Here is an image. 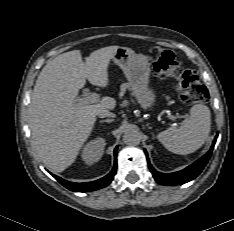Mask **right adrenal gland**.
I'll return each mask as SVG.
<instances>
[{
    "label": "right adrenal gland",
    "mask_w": 234,
    "mask_h": 231,
    "mask_svg": "<svg viewBox=\"0 0 234 231\" xmlns=\"http://www.w3.org/2000/svg\"><path fill=\"white\" fill-rule=\"evenodd\" d=\"M112 121H113V119H105V120H101L100 123H104V122L110 123Z\"/></svg>",
    "instance_id": "obj_1"
}]
</instances>
